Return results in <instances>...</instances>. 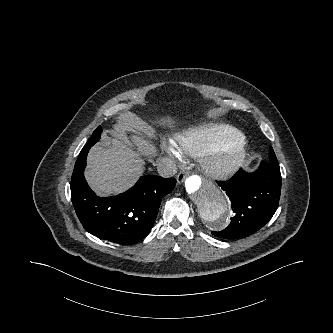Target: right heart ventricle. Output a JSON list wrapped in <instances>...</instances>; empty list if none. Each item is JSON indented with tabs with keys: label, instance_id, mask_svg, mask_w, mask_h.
Listing matches in <instances>:
<instances>
[{
	"label": "right heart ventricle",
	"instance_id": "obj_1",
	"mask_svg": "<svg viewBox=\"0 0 333 333\" xmlns=\"http://www.w3.org/2000/svg\"><path fill=\"white\" fill-rule=\"evenodd\" d=\"M232 139L245 140L244 135L228 125L208 124L187 130L175 137V144L184 157H200L215 144Z\"/></svg>",
	"mask_w": 333,
	"mask_h": 333
}]
</instances>
